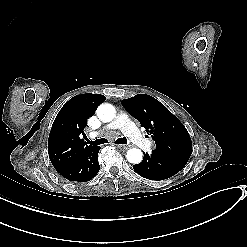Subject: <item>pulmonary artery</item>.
I'll return each mask as SVG.
<instances>
[{"label":"pulmonary artery","mask_w":247,"mask_h":247,"mask_svg":"<svg viewBox=\"0 0 247 247\" xmlns=\"http://www.w3.org/2000/svg\"><path fill=\"white\" fill-rule=\"evenodd\" d=\"M105 129H119L133 144L139 145L143 149L156 148L155 142L144 139V133L139 125L132 121L130 115L124 110H119L114 121L109 123Z\"/></svg>","instance_id":"e3ab8cb5"}]
</instances>
